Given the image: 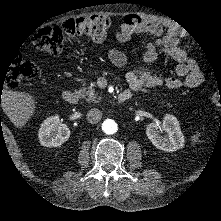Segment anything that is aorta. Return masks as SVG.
Wrapping results in <instances>:
<instances>
[{
  "mask_svg": "<svg viewBox=\"0 0 221 221\" xmlns=\"http://www.w3.org/2000/svg\"><path fill=\"white\" fill-rule=\"evenodd\" d=\"M102 130L104 133L111 135L117 132L118 130V125L117 123L112 120V119H106L103 123H102Z\"/></svg>",
  "mask_w": 221,
  "mask_h": 221,
  "instance_id": "aorta-1",
  "label": "aorta"
}]
</instances>
